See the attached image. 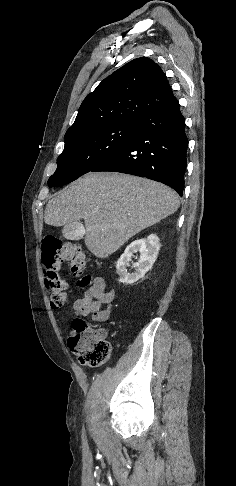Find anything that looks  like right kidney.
<instances>
[{"instance_id":"right-kidney-1","label":"right kidney","mask_w":236,"mask_h":486,"mask_svg":"<svg viewBox=\"0 0 236 486\" xmlns=\"http://www.w3.org/2000/svg\"><path fill=\"white\" fill-rule=\"evenodd\" d=\"M160 250L159 238L155 234L147 238L138 239L128 245L116 264L117 273L120 276L119 281L123 284H134L152 268L157 259ZM140 253L137 263L133 264L135 272L129 273L127 267L130 266L131 258L134 253Z\"/></svg>"}]
</instances>
